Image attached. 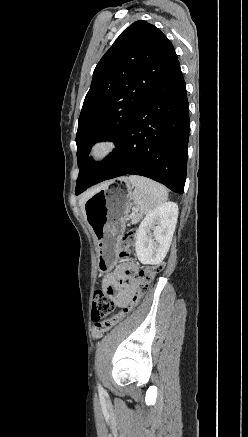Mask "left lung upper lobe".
Masks as SVG:
<instances>
[{
    "label": "left lung upper lobe",
    "instance_id": "left-lung-upper-lobe-1",
    "mask_svg": "<svg viewBox=\"0 0 248 437\" xmlns=\"http://www.w3.org/2000/svg\"><path fill=\"white\" fill-rule=\"evenodd\" d=\"M176 61L171 42L143 20L124 30L101 58L78 120L76 195L92 185L113 155L94 164L88 159L91 147L105 139L118 147L133 114Z\"/></svg>",
    "mask_w": 248,
    "mask_h": 437
}]
</instances>
